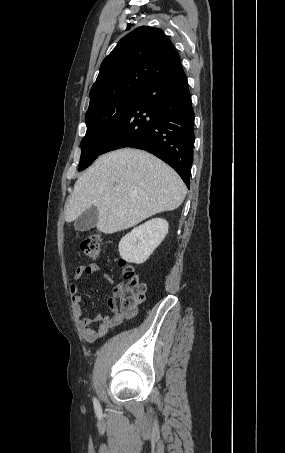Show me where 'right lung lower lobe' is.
I'll return each instance as SVG.
<instances>
[{"label":"right lung lower lobe","instance_id":"right-lung-lower-lobe-1","mask_svg":"<svg viewBox=\"0 0 285 453\" xmlns=\"http://www.w3.org/2000/svg\"><path fill=\"white\" fill-rule=\"evenodd\" d=\"M194 112L187 77L179 64L151 79L102 154L124 147L146 150L169 164L190 186Z\"/></svg>","mask_w":285,"mask_h":453}]
</instances>
